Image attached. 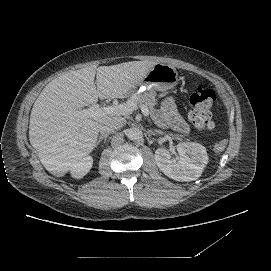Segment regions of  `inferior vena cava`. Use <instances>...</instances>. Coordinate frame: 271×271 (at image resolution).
<instances>
[{"mask_svg":"<svg viewBox=\"0 0 271 271\" xmlns=\"http://www.w3.org/2000/svg\"><path fill=\"white\" fill-rule=\"evenodd\" d=\"M123 126L122 120H114L102 123L99 125V133L109 135Z\"/></svg>","mask_w":271,"mask_h":271,"instance_id":"602c4592","label":"inferior vena cava"}]
</instances>
